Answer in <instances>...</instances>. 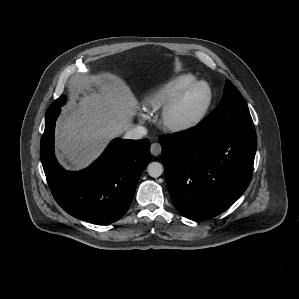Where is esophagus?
Segmentation results:
<instances>
[{
	"label": "esophagus",
	"instance_id": "esophagus-1",
	"mask_svg": "<svg viewBox=\"0 0 299 299\" xmlns=\"http://www.w3.org/2000/svg\"><path fill=\"white\" fill-rule=\"evenodd\" d=\"M161 145L157 142L151 144V148H150V151H151V154L154 155V156H158L160 153H161Z\"/></svg>",
	"mask_w": 299,
	"mask_h": 299
}]
</instances>
